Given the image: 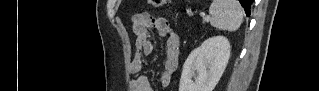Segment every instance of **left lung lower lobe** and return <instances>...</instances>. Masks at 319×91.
Masks as SVG:
<instances>
[{"label": "left lung lower lobe", "mask_w": 319, "mask_h": 91, "mask_svg": "<svg viewBox=\"0 0 319 91\" xmlns=\"http://www.w3.org/2000/svg\"><path fill=\"white\" fill-rule=\"evenodd\" d=\"M239 2L243 6L246 15L249 16L250 15V6H251V3L253 2V0H239Z\"/></svg>", "instance_id": "obj_1"}]
</instances>
